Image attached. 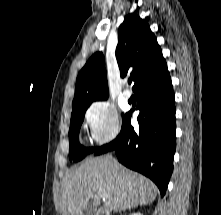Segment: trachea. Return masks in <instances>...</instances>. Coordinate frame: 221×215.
Segmentation results:
<instances>
[{"label": "trachea", "instance_id": "3493384b", "mask_svg": "<svg viewBox=\"0 0 221 215\" xmlns=\"http://www.w3.org/2000/svg\"><path fill=\"white\" fill-rule=\"evenodd\" d=\"M128 83H129V84H131V83H132V80H131V79H129V80H128Z\"/></svg>", "mask_w": 221, "mask_h": 215}]
</instances>
